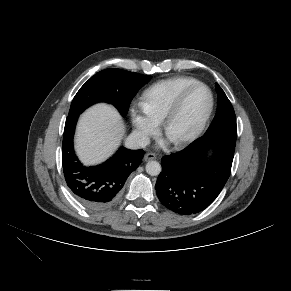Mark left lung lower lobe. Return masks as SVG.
<instances>
[{"label": "left lung lower lobe", "instance_id": "obj_1", "mask_svg": "<svg viewBox=\"0 0 291 291\" xmlns=\"http://www.w3.org/2000/svg\"><path fill=\"white\" fill-rule=\"evenodd\" d=\"M237 131L220 130L198 138L180 152L162 158L156 182L161 203L175 213L196 214L219 195L229 178ZM209 148L212 160L203 162Z\"/></svg>", "mask_w": 291, "mask_h": 291}]
</instances>
